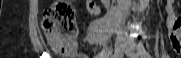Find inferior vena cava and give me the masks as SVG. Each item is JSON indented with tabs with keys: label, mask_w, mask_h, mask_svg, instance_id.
Segmentation results:
<instances>
[{
	"label": "inferior vena cava",
	"mask_w": 181,
	"mask_h": 58,
	"mask_svg": "<svg viewBox=\"0 0 181 58\" xmlns=\"http://www.w3.org/2000/svg\"><path fill=\"white\" fill-rule=\"evenodd\" d=\"M131 0H118V7L121 12V19L125 20L130 12Z\"/></svg>",
	"instance_id": "602c4592"
}]
</instances>
